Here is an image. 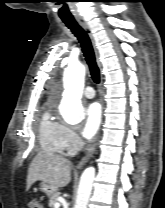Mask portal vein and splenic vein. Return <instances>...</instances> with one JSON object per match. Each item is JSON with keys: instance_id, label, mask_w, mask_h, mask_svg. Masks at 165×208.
<instances>
[{"instance_id": "obj_1", "label": "portal vein and splenic vein", "mask_w": 165, "mask_h": 208, "mask_svg": "<svg viewBox=\"0 0 165 208\" xmlns=\"http://www.w3.org/2000/svg\"><path fill=\"white\" fill-rule=\"evenodd\" d=\"M54 207L55 208H59L60 207V204L59 203H56Z\"/></svg>"}]
</instances>
